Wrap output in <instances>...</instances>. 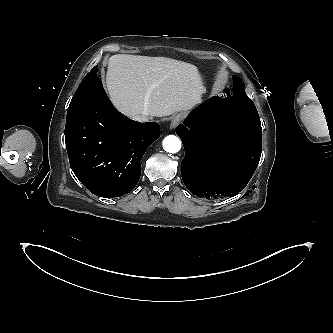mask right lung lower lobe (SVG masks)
Wrapping results in <instances>:
<instances>
[{
	"label": "right lung lower lobe",
	"instance_id": "1",
	"mask_svg": "<svg viewBox=\"0 0 333 333\" xmlns=\"http://www.w3.org/2000/svg\"><path fill=\"white\" fill-rule=\"evenodd\" d=\"M160 136L159 124L118 112L99 83L84 106L67 115L65 143L78 180L100 197H120L138 183L141 159Z\"/></svg>",
	"mask_w": 333,
	"mask_h": 333
}]
</instances>
